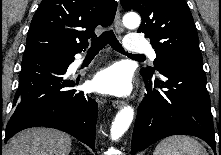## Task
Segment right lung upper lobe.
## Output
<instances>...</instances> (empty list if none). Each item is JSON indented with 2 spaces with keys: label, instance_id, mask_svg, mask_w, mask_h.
<instances>
[{
  "label": "right lung upper lobe",
  "instance_id": "right-lung-upper-lobe-1",
  "mask_svg": "<svg viewBox=\"0 0 221 155\" xmlns=\"http://www.w3.org/2000/svg\"><path fill=\"white\" fill-rule=\"evenodd\" d=\"M116 9L115 0H42L23 57L42 53L74 57L96 36L97 26L112 24Z\"/></svg>",
  "mask_w": 221,
  "mask_h": 155
}]
</instances>
